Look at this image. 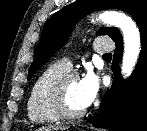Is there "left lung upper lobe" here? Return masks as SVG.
Wrapping results in <instances>:
<instances>
[{
  "label": "left lung upper lobe",
  "mask_w": 147,
  "mask_h": 131,
  "mask_svg": "<svg viewBox=\"0 0 147 131\" xmlns=\"http://www.w3.org/2000/svg\"><path fill=\"white\" fill-rule=\"evenodd\" d=\"M103 9H119L127 12L134 18L138 27L147 21V0H76L56 12L44 25L28 79L67 42L76 22L93 11ZM97 34L108 35L115 42L122 39L115 27L101 28Z\"/></svg>",
  "instance_id": "left-lung-upper-lobe-1"
}]
</instances>
